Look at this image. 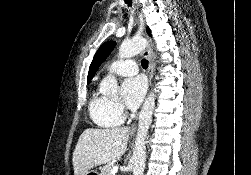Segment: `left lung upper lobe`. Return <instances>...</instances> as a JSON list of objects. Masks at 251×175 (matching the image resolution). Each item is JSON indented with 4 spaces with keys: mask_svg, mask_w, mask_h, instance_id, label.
<instances>
[{
    "mask_svg": "<svg viewBox=\"0 0 251 175\" xmlns=\"http://www.w3.org/2000/svg\"><path fill=\"white\" fill-rule=\"evenodd\" d=\"M147 32L150 35V30L147 28ZM114 41H109L104 44H102L96 54L94 55L93 61L89 68L88 73V82L90 83L91 79L93 78L94 74L97 72L98 68L100 67L101 63L107 58V56L111 53V51L114 49L115 46Z\"/></svg>",
    "mask_w": 251,
    "mask_h": 175,
    "instance_id": "1",
    "label": "left lung upper lobe"
}]
</instances>
